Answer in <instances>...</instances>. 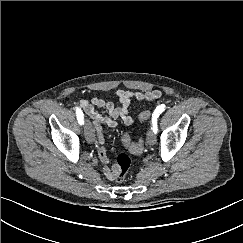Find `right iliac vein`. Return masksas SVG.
<instances>
[{
  "label": "right iliac vein",
  "mask_w": 243,
  "mask_h": 243,
  "mask_svg": "<svg viewBox=\"0 0 243 243\" xmlns=\"http://www.w3.org/2000/svg\"><path fill=\"white\" fill-rule=\"evenodd\" d=\"M84 134H85V138H86L87 142L92 144L95 140L94 129L89 120H85V122H84Z\"/></svg>",
  "instance_id": "1"
}]
</instances>
